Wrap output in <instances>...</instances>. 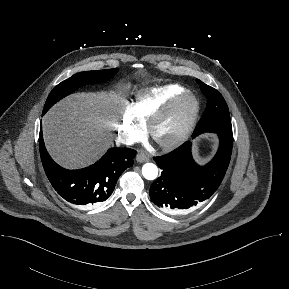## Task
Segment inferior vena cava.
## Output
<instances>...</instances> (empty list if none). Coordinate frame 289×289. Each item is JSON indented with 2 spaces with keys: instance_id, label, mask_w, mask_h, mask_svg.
I'll return each instance as SVG.
<instances>
[{
  "instance_id": "inferior-vena-cava-1",
  "label": "inferior vena cava",
  "mask_w": 289,
  "mask_h": 289,
  "mask_svg": "<svg viewBox=\"0 0 289 289\" xmlns=\"http://www.w3.org/2000/svg\"><path fill=\"white\" fill-rule=\"evenodd\" d=\"M117 142L125 144V145H132V144H134L135 141L133 138L122 134V135L118 136Z\"/></svg>"
}]
</instances>
